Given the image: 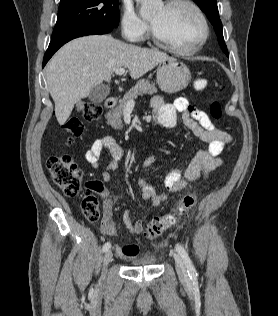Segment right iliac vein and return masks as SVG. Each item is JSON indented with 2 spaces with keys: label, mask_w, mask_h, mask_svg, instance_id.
<instances>
[{
  "label": "right iliac vein",
  "mask_w": 278,
  "mask_h": 316,
  "mask_svg": "<svg viewBox=\"0 0 278 316\" xmlns=\"http://www.w3.org/2000/svg\"><path fill=\"white\" fill-rule=\"evenodd\" d=\"M112 256H113V254H112L111 250H108V251L105 253V255H104V259H103V275H104V273H105L106 270H107L108 264H109V263L111 262V260H112Z\"/></svg>",
  "instance_id": "63e3f726"
}]
</instances>
